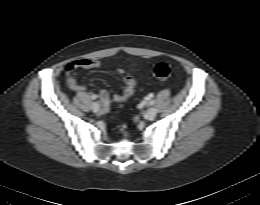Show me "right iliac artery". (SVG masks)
<instances>
[{
    "label": "right iliac artery",
    "instance_id": "obj_1",
    "mask_svg": "<svg viewBox=\"0 0 260 205\" xmlns=\"http://www.w3.org/2000/svg\"><path fill=\"white\" fill-rule=\"evenodd\" d=\"M96 97H97L96 95H92V98H93V99H96Z\"/></svg>",
    "mask_w": 260,
    "mask_h": 205
}]
</instances>
